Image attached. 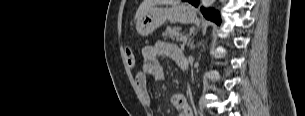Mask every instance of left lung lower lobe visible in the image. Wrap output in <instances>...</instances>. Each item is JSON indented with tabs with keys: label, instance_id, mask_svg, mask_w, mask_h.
<instances>
[{
	"label": "left lung lower lobe",
	"instance_id": "obj_1",
	"mask_svg": "<svg viewBox=\"0 0 305 116\" xmlns=\"http://www.w3.org/2000/svg\"><path fill=\"white\" fill-rule=\"evenodd\" d=\"M187 2L191 3L192 5H194L196 7L199 4L198 0H187ZM201 11L207 19H210V20L216 22L217 24H220L221 20H220L219 13L217 11H215L214 9H204L203 7L201 8Z\"/></svg>",
	"mask_w": 305,
	"mask_h": 116
}]
</instances>
